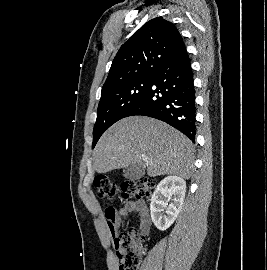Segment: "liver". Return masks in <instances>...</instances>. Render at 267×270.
<instances>
[{"mask_svg": "<svg viewBox=\"0 0 267 270\" xmlns=\"http://www.w3.org/2000/svg\"><path fill=\"white\" fill-rule=\"evenodd\" d=\"M193 155L192 142L176 129L153 118L132 116L102 135L93 152V166L96 172L107 173L137 164L150 177L174 175L188 180Z\"/></svg>", "mask_w": 267, "mask_h": 270, "instance_id": "1", "label": "liver"}]
</instances>
